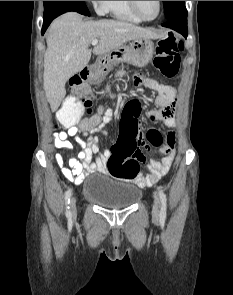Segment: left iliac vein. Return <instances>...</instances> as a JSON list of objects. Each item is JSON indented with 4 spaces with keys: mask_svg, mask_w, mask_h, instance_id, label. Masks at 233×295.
I'll return each mask as SVG.
<instances>
[{
    "mask_svg": "<svg viewBox=\"0 0 233 295\" xmlns=\"http://www.w3.org/2000/svg\"><path fill=\"white\" fill-rule=\"evenodd\" d=\"M154 204L152 208V213L155 218L159 217V212H160V199L157 195H154Z\"/></svg>",
    "mask_w": 233,
    "mask_h": 295,
    "instance_id": "1",
    "label": "left iliac vein"
}]
</instances>
